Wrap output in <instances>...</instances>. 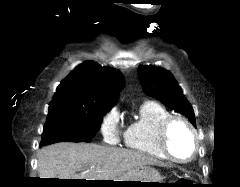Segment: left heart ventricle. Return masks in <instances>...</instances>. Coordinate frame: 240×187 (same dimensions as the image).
Instances as JSON below:
<instances>
[{
	"mask_svg": "<svg viewBox=\"0 0 240 187\" xmlns=\"http://www.w3.org/2000/svg\"><path fill=\"white\" fill-rule=\"evenodd\" d=\"M169 147L173 154L180 158H188L193 151V141L189 130L182 124L173 126L169 136Z\"/></svg>",
	"mask_w": 240,
	"mask_h": 187,
	"instance_id": "1",
	"label": "left heart ventricle"
}]
</instances>
